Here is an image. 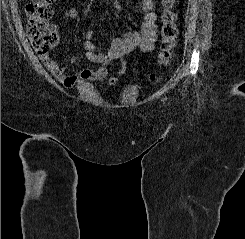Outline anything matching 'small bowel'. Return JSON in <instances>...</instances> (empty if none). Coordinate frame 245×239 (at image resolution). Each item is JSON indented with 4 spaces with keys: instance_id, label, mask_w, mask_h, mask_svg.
<instances>
[{
    "instance_id": "c3829d8e",
    "label": "small bowel",
    "mask_w": 245,
    "mask_h": 239,
    "mask_svg": "<svg viewBox=\"0 0 245 239\" xmlns=\"http://www.w3.org/2000/svg\"><path fill=\"white\" fill-rule=\"evenodd\" d=\"M141 5L143 22L140 31H131L115 38L112 41L111 48L103 53L98 52L96 45L91 41L92 31L84 33V39L81 43L85 50V58L98 64V68H86L76 74L69 75L66 68L60 66L49 55L40 57L44 66L50 73L59 80L65 87L73 88L84 82H106L110 86L118 83L119 78L126 74L127 66L124 58L131 52L139 49L142 52H150L154 49L157 35V13L156 0H138ZM111 7L114 11L120 12L122 6L118 0H111ZM78 12L75 8H68L63 12V16L69 19H75ZM118 61L119 66L113 73L108 70V65Z\"/></svg>"
}]
</instances>
